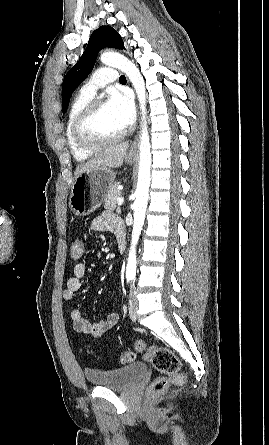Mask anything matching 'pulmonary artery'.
<instances>
[{
    "mask_svg": "<svg viewBox=\"0 0 269 445\" xmlns=\"http://www.w3.org/2000/svg\"><path fill=\"white\" fill-rule=\"evenodd\" d=\"M118 79V72L111 67H101L97 69L89 82L83 87L82 91L93 96L99 87L108 83L115 82Z\"/></svg>",
    "mask_w": 269,
    "mask_h": 445,
    "instance_id": "1",
    "label": "pulmonary artery"
}]
</instances>
